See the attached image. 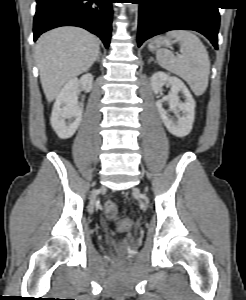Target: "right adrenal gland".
<instances>
[{
  "mask_svg": "<svg viewBox=\"0 0 246 300\" xmlns=\"http://www.w3.org/2000/svg\"><path fill=\"white\" fill-rule=\"evenodd\" d=\"M100 56H101V52H99L98 56H97V61H100Z\"/></svg>",
  "mask_w": 246,
  "mask_h": 300,
  "instance_id": "2a0ac1e0",
  "label": "right adrenal gland"
}]
</instances>
